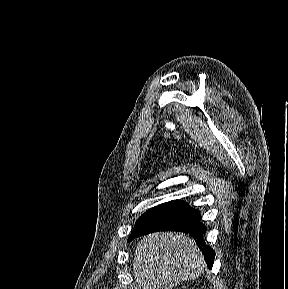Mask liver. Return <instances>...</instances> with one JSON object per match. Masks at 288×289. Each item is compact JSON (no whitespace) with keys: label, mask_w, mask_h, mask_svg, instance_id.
Here are the masks:
<instances>
[{"label":"liver","mask_w":288,"mask_h":289,"mask_svg":"<svg viewBox=\"0 0 288 289\" xmlns=\"http://www.w3.org/2000/svg\"><path fill=\"white\" fill-rule=\"evenodd\" d=\"M204 268L202 252L183 233H152L135 249L133 276L138 289H172L182 281L196 279Z\"/></svg>","instance_id":"6515ba94"}]
</instances>
